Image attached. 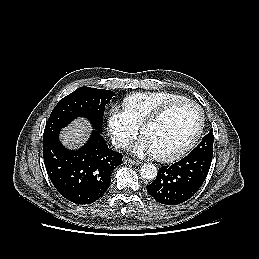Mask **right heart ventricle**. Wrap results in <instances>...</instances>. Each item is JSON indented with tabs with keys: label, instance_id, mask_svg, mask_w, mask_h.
Returning a JSON list of instances; mask_svg holds the SVG:
<instances>
[{
	"label": "right heart ventricle",
	"instance_id": "obj_1",
	"mask_svg": "<svg viewBox=\"0 0 259 259\" xmlns=\"http://www.w3.org/2000/svg\"><path fill=\"white\" fill-rule=\"evenodd\" d=\"M186 99L182 95L159 91V92H142L131 94L124 99V106L128 111L133 123L140 126L145 119L155 113L164 105Z\"/></svg>",
	"mask_w": 259,
	"mask_h": 259
}]
</instances>
